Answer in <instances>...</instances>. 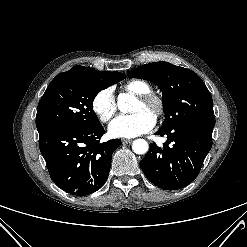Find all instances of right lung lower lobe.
Masks as SVG:
<instances>
[{
  "label": "right lung lower lobe",
  "mask_w": 247,
  "mask_h": 247,
  "mask_svg": "<svg viewBox=\"0 0 247 247\" xmlns=\"http://www.w3.org/2000/svg\"><path fill=\"white\" fill-rule=\"evenodd\" d=\"M104 129L63 127L40 134L39 148L50 177L61 189L76 196L89 195L106 182L111 157L119 139L100 143Z\"/></svg>",
  "instance_id": "98d812e1"
}]
</instances>
